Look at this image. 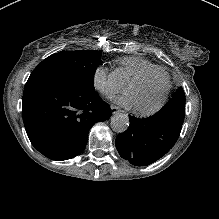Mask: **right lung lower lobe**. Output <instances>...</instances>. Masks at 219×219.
<instances>
[{
    "label": "right lung lower lobe",
    "instance_id": "obj_1",
    "mask_svg": "<svg viewBox=\"0 0 219 219\" xmlns=\"http://www.w3.org/2000/svg\"><path fill=\"white\" fill-rule=\"evenodd\" d=\"M93 88L92 83L62 71L29 78L23 117L30 140L40 152L67 158L82 151L90 128L110 117V107Z\"/></svg>",
    "mask_w": 219,
    "mask_h": 219
}]
</instances>
